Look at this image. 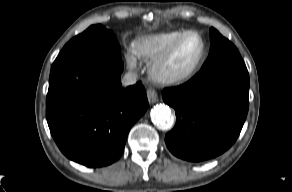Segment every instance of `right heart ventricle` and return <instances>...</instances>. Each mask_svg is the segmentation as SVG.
Returning <instances> with one entry per match:
<instances>
[{
    "label": "right heart ventricle",
    "instance_id": "1",
    "mask_svg": "<svg viewBox=\"0 0 292 192\" xmlns=\"http://www.w3.org/2000/svg\"><path fill=\"white\" fill-rule=\"evenodd\" d=\"M185 31L178 29L138 37L132 44L133 53L144 62H154Z\"/></svg>",
    "mask_w": 292,
    "mask_h": 192
}]
</instances>
